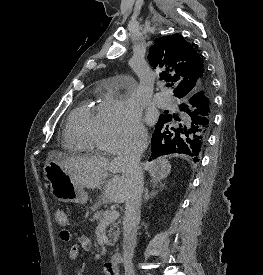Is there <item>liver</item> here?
<instances>
[{"mask_svg":"<svg viewBox=\"0 0 263 275\" xmlns=\"http://www.w3.org/2000/svg\"><path fill=\"white\" fill-rule=\"evenodd\" d=\"M54 160L66 171L71 178L82 187L94 189L100 187L106 179L108 172L115 173L105 185L103 197L106 202L124 203L128 191L127 182L122 176L117 175L121 167L114 159L109 161L102 156L91 157H67L61 152H50L48 160ZM144 170L148 171L151 182H160L171 171L170 163L163 158L143 164Z\"/></svg>","mask_w":263,"mask_h":275,"instance_id":"1","label":"liver"}]
</instances>
